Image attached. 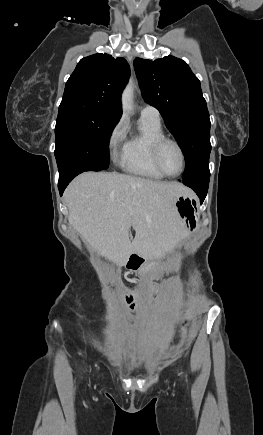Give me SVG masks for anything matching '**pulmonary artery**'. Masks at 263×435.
<instances>
[{"label":"pulmonary artery","mask_w":263,"mask_h":435,"mask_svg":"<svg viewBox=\"0 0 263 435\" xmlns=\"http://www.w3.org/2000/svg\"><path fill=\"white\" fill-rule=\"evenodd\" d=\"M141 116L160 121L159 111L155 107L150 106V105H146L142 108Z\"/></svg>","instance_id":"e3ab8cb5"}]
</instances>
